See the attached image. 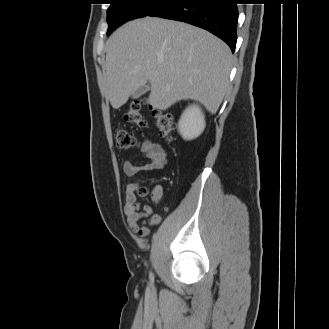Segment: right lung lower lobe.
I'll list each match as a JSON object with an SVG mask.
<instances>
[{
  "label": "right lung lower lobe",
  "instance_id": "obj_1",
  "mask_svg": "<svg viewBox=\"0 0 329 329\" xmlns=\"http://www.w3.org/2000/svg\"><path fill=\"white\" fill-rule=\"evenodd\" d=\"M237 0H172L149 16L201 27L226 42L234 52L238 21Z\"/></svg>",
  "mask_w": 329,
  "mask_h": 329
}]
</instances>
